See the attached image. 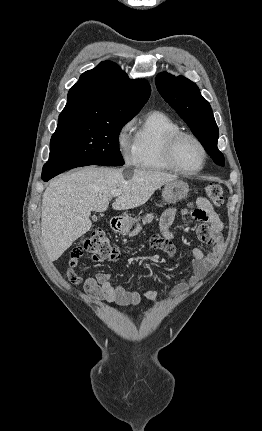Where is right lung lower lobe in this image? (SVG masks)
Here are the masks:
<instances>
[{"label": "right lung lower lobe", "instance_id": "1", "mask_svg": "<svg viewBox=\"0 0 262 431\" xmlns=\"http://www.w3.org/2000/svg\"><path fill=\"white\" fill-rule=\"evenodd\" d=\"M88 165H92V164H87V163H76V162H67V163H59V164H45L43 166V171H42V179L44 181H48L51 178L55 177L56 175L72 169V168H76V167H81V166H88Z\"/></svg>", "mask_w": 262, "mask_h": 431}]
</instances>
